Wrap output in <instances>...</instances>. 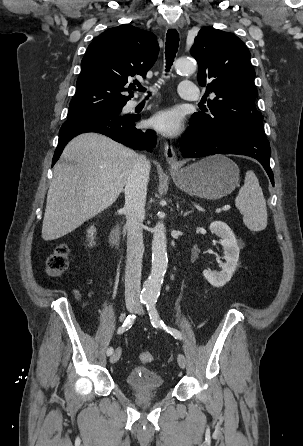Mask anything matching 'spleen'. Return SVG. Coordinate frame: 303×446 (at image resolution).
<instances>
[{"label": "spleen", "instance_id": "3e777b00", "mask_svg": "<svg viewBox=\"0 0 303 446\" xmlns=\"http://www.w3.org/2000/svg\"><path fill=\"white\" fill-rule=\"evenodd\" d=\"M235 206L243 215L245 226L251 231H262L267 226V207L258 178L247 171L244 185L235 199Z\"/></svg>", "mask_w": 303, "mask_h": 446}]
</instances>
